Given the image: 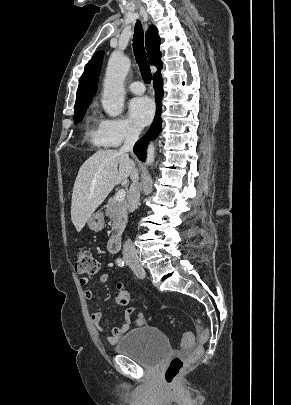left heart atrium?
<instances>
[{
  "label": "left heart atrium",
  "mask_w": 291,
  "mask_h": 405,
  "mask_svg": "<svg viewBox=\"0 0 291 405\" xmlns=\"http://www.w3.org/2000/svg\"><path fill=\"white\" fill-rule=\"evenodd\" d=\"M154 114V104L148 97H137L129 103L131 120L139 127L147 125Z\"/></svg>",
  "instance_id": "1"
}]
</instances>
